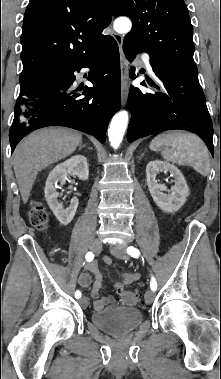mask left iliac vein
Here are the masks:
<instances>
[{
  "label": "left iliac vein",
  "mask_w": 221,
  "mask_h": 379,
  "mask_svg": "<svg viewBox=\"0 0 221 379\" xmlns=\"http://www.w3.org/2000/svg\"><path fill=\"white\" fill-rule=\"evenodd\" d=\"M126 249H127V244L121 243V244H117V245L111 247L110 251H111V254L114 255L117 258L128 259V255L126 253ZM154 299H155V293H154V291L148 290L145 293V302L147 304H151L154 301Z\"/></svg>",
  "instance_id": "obj_1"
}]
</instances>
